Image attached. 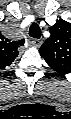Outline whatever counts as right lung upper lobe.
Listing matches in <instances>:
<instances>
[{"label":"right lung upper lobe","instance_id":"1","mask_svg":"<svg viewBox=\"0 0 71 119\" xmlns=\"http://www.w3.org/2000/svg\"><path fill=\"white\" fill-rule=\"evenodd\" d=\"M24 44V39L11 41L4 36L0 37V69L9 66L19 54L18 48Z\"/></svg>","mask_w":71,"mask_h":119}]
</instances>
